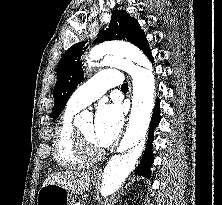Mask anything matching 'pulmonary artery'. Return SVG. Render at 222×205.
<instances>
[{"mask_svg": "<svg viewBox=\"0 0 222 205\" xmlns=\"http://www.w3.org/2000/svg\"><path fill=\"white\" fill-rule=\"evenodd\" d=\"M121 85L122 77L118 70L103 69L73 93L67 106L73 110H80L102 96L107 89Z\"/></svg>", "mask_w": 222, "mask_h": 205, "instance_id": "obj_1", "label": "pulmonary artery"}]
</instances>
